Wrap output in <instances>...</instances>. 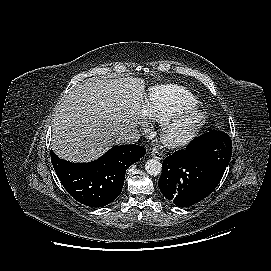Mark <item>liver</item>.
Segmentation results:
<instances>
[{
	"label": "liver",
	"instance_id": "obj_1",
	"mask_svg": "<svg viewBox=\"0 0 271 271\" xmlns=\"http://www.w3.org/2000/svg\"><path fill=\"white\" fill-rule=\"evenodd\" d=\"M145 81L138 77L77 84L55 108L51 147L72 162L97 159L139 124Z\"/></svg>",
	"mask_w": 271,
	"mask_h": 271
}]
</instances>
